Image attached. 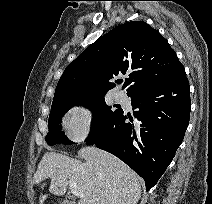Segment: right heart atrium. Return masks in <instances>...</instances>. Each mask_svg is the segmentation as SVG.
Listing matches in <instances>:
<instances>
[{
  "label": "right heart atrium",
  "mask_w": 212,
  "mask_h": 204,
  "mask_svg": "<svg viewBox=\"0 0 212 204\" xmlns=\"http://www.w3.org/2000/svg\"><path fill=\"white\" fill-rule=\"evenodd\" d=\"M96 115L85 105H74L68 109L63 126L68 139L75 144L86 141L94 130Z\"/></svg>",
  "instance_id": "d8ad5b80"
}]
</instances>
